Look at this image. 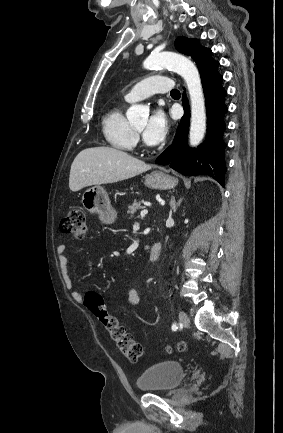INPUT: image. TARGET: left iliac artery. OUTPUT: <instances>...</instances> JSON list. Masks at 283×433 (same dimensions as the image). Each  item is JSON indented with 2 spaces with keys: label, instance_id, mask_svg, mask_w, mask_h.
<instances>
[{
  "label": "left iliac artery",
  "instance_id": "1",
  "mask_svg": "<svg viewBox=\"0 0 283 433\" xmlns=\"http://www.w3.org/2000/svg\"><path fill=\"white\" fill-rule=\"evenodd\" d=\"M175 328H177V327H176L175 324H173V325H172V330H174Z\"/></svg>",
  "mask_w": 283,
  "mask_h": 433
}]
</instances>
